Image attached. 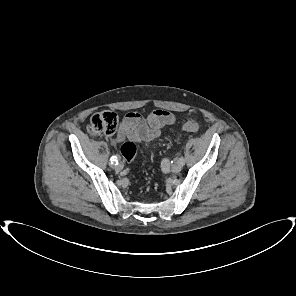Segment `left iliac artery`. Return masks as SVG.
<instances>
[{
	"instance_id": "44dca946",
	"label": "left iliac artery",
	"mask_w": 296,
	"mask_h": 296,
	"mask_svg": "<svg viewBox=\"0 0 296 296\" xmlns=\"http://www.w3.org/2000/svg\"><path fill=\"white\" fill-rule=\"evenodd\" d=\"M178 162H180L182 165L185 164V159L183 156H181L179 159H178Z\"/></svg>"
}]
</instances>
